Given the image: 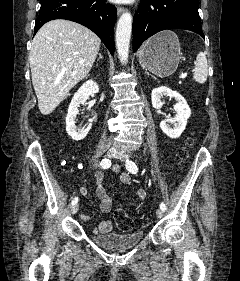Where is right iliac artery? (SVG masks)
Masks as SVG:
<instances>
[{
    "label": "right iliac artery",
    "mask_w": 240,
    "mask_h": 281,
    "mask_svg": "<svg viewBox=\"0 0 240 281\" xmlns=\"http://www.w3.org/2000/svg\"><path fill=\"white\" fill-rule=\"evenodd\" d=\"M110 166H111V160H109V159H103V160L100 162V167L103 168V169H107V168H109ZM77 202H78V197H75V198L72 200L71 204H72V205H75V204H77Z\"/></svg>",
    "instance_id": "82829eb1"
}]
</instances>
